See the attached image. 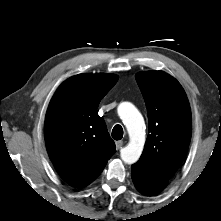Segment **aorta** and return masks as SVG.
Listing matches in <instances>:
<instances>
[{
	"label": "aorta",
	"instance_id": "obj_1",
	"mask_svg": "<svg viewBox=\"0 0 221 221\" xmlns=\"http://www.w3.org/2000/svg\"><path fill=\"white\" fill-rule=\"evenodd\" d=\"M118 113L129 133L130 142L120 151L121 159L133 164L140 158L145 143V124L140 112L130 103L119 105Z\"/></svg>",
	"mask_w": 221,
	"mask_h": 221
}]
</instances>
